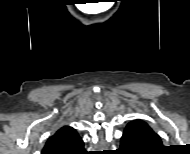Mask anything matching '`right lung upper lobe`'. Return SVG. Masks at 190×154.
Returning <instances> with one entry per match:
<instances>
[{
  "label": "right lung upper lobe",
  "instance_id": "cb5924a9",
  "mask_svg": "<svg viewBox=\"0 0 190 154\" xmlns=\"http://www.w3.org/2000/svg\"><path fill=\"white\" fill-rule=\"evenodd\" d=\"M83 150V141L75 129L64 126L47 140L41 154H81Z\"/></svg>",
  "mask_w": 190,
  "mask_h": 154
}]
</instances>
